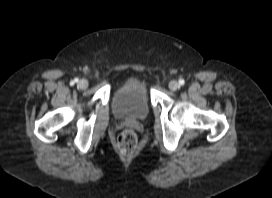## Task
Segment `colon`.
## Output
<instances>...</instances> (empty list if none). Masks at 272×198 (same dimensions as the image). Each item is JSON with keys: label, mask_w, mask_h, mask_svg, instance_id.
<instances>
[{"label": "colon", "mask_w": 272, "mask_h": 198, "mask_svg": "<svg viewBox=\"0 0 272 198\" xmlns=\"http://www.w3.org/2000/svg\"><path fill=\"white\" fill-rule=\"evenodd\" d=\"M138 139L132 129H124L117 137V149L123 156L132 155L137 149Z\"/></svg>", "instance_id": "5ec220e1"}]
</instances>
